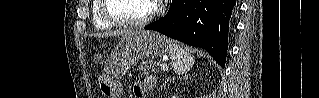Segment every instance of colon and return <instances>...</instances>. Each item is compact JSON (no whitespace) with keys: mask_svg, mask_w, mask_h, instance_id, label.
Returning <instances> with one entry per match:
<instances>
[{"mask_svg":"<svg viewBox=\"0 0 319 98\" xmlns=\"http://www.w3.org/2000/svg\"><path fill=\"white\" fill-rule=\"evenodd\" d=\"M90 57L96 63H101V61H102V56H101V53L98 49H95V48L91 49L90 50Z\"/></svg>","mask_w":319,"mask_h":98,"instance_id":"1","label":"colon"}]
</instances>
